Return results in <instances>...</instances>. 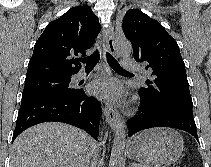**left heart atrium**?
Listing matches in <instances>:
<instances>
[{"label":"left heart atrium","mask_w":211,"mask_h":167,"mask_svg":"<svg viewBox=\"0 0 211 167\" xmlns=\"http://www.w3.org/2000/svg\"><path fill=\"white\" fill-rule=\"evenodd\" d=\"M90 90L96 95L113 100H117L121 97V86L116 81H95L90 85Z\"/></svg>","instance_id":"obj_1"}]
</instances>
